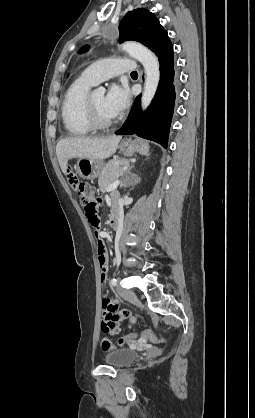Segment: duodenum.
Here are the masks:
<instances>
[{"label":"duodenum","mask_w":255,"mask_h":418,"mask_svg":"<svg viewBox=\"0 0 255 418\" xmlns=\"http://www.w3.org/2000/svg\"><path fill=\"white\" fill-rule=\"evenodd\" d=\"M109 227L117 231L120 228V212L118 206L114 205L111 209L110 216H109Z\"/></svg>","instance_id":"obj_1"}]
</instances>
